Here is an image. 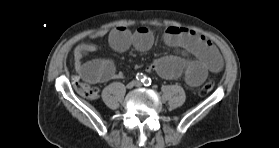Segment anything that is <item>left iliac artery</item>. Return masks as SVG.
I'll list each match as a JSON object with an SVG mask.
<instances>
[{"instance_id":"1","label":"left iliac artery","mask_w":279,"mask_h":148,"mask_svg":"<svg viewBox=\"0 0 279 148\" xmlns=\"http://www.w3.org/2000/svg\"><path fill=\"white\" fill-rule=\"evenodd\" d=\"M143 83H144L145 86H150L151 85V79L150 78H146Z\"/></svg>"}]
</instances>
